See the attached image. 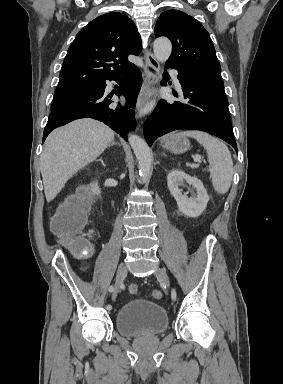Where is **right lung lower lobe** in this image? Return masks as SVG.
<instances>
[{
	"label": "right lung lower lobe",
	"instance_id": "obj_1",
	"mask_svg": "<svg viewBox=\"0 0 283 384\" xmlns=\"http://www.w3.org/2000/svg\"><path fill=\"white\" fill-rule=\"evenodd\" d=\"M114 80L121 84L117 95L122 94L126 97L125 106L109 107L111 100L104 98L106 83L96 84L91 87L92 92L84 98L52 110L44 130L43 142L53 129L72 120L88 117L104 122L127 140L128 132L136 126L134 108L141 87L142 76L140 70L135 67L128 74Z\"/></svg>",
	"mask_w": 283,
	"mask_h": 384
}]
</instances>
